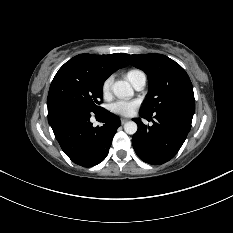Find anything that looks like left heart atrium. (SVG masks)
I'll return each mask as SVG.
<instances>
[{
    "label": "left heart atrium",
    "instance_id": "39dd6f15",
    "mask_svg": "<svg viewBox=\"0 0 233 233\" xmlns=\"http://www.w3.org/2000/svg\"><path fill=\"white\" fill-rule=\"evenodd\" d=\"M139 106L138 100H118L109 107L114 114L122 116H131Z\"/></svg>",
    "mask_w": 233,
    "mask_h": 233
}]
</instances>
